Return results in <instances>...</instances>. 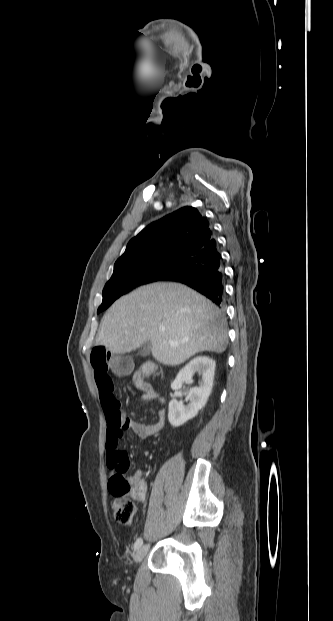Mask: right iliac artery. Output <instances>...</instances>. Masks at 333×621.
<instances>
[{
	"label": "right iliac artery",
	"instance_id": "obj_1",
	"mask_svg": "<svg viewBox=\"0 0 333 621\" xmlns=\"http://www.w3.org/2000/svg\"><path fill=\"white\" fill-rule=\"evenodd\" d=\"M142 543H143L142 538H138L134 544V549L138 550L141 547Z\"/></svg>",
	"mask_w": 333,
	"mask_h": 621
}]
</instances>
